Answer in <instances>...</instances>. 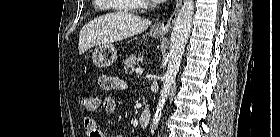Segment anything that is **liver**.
Masks as SVG:
<instances>
[{"instance_id": "6515ba94", "label": "liver", "mask_w": 280, "mask_h": 137, "mask_svg": "<svg viewBox=\"0 0 280 137\" xmlns=\"http://www.w3.org/2000/svg\"><path fill=\"white\" fill-rule=\"evenodd\" d=\"M150 24V20L128 12L99 16L82 27L79 33V54L82 55L93 46L110 44L142 33Z\"/></svg>"}]
</instances>
